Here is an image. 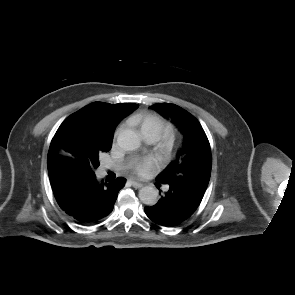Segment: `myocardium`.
Returning <instances> with one entry per match:
<instances>
[{"label":"myocardium","mask_w":295,"mask_h":295,"mask_svg":"<svg viewBox=\"0 0 295 295\" xmlns=\"http://www.w3.org/2000/svg\"><path fill=\"white\" fill-rule=\"evenodd\" d=\"M183 138L179 131L174 128H167L159 137L157 150L163 160L175 158L181 150Z\"/></svg>","instance_id":"1"}]
</instances>
